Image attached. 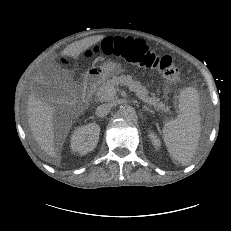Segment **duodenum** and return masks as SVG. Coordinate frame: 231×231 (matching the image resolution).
Segmentation results:
<instances>
[{"label":"duodenum","instance_id":"1","mask_svg":"<svg viewBox=\"0 0 231 231\" xmlns=\"http://www.w3.org/2000/svg\"><path fill=\"white\" fill-rule=\"evenodd\" d=\"M99 81L98 76L89 75L84 82V92H83V102L85 104L89 103L93 94L95 87Z\"/></svg>","mask_w":231,"mask_h":231}]
</instances>
